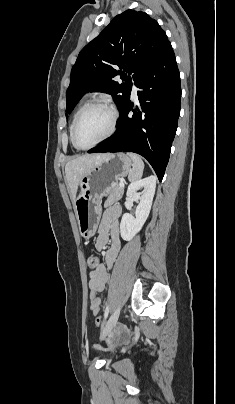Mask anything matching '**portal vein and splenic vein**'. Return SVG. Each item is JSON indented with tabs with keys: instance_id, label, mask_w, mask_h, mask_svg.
Returning <instances> with one entry per match:
<instances>
[{
	"instance_id": "obj_1",
	"label": "portal vein and splenic vein",
	"mask_w": 235,
	"mask_h": 404,
	"mask_svg": "<svg viewBox=\"0 0 235 404\" xmlns=\"http://www.w3.org/2000/svg\"><path fill=\"white\" fill-rule=\"evenodd\" d=\"M120 187H121V188H124V183H120Z\"/></svg>"
}]
</instances>
